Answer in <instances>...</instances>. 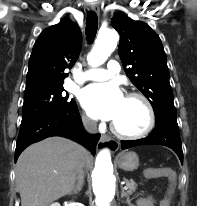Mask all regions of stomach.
Returning a JSON list of instances; mask_svg holds the SVG:
<instances>
[{
	"instance_id": "1",
	"label": "stomach",
	"mask_w": 197,
	"mask_h": 206,
	"mask_svg": "<svg viewBox=\"0 0 197 206\" xmlns=\"http://www.w3.org/2000/svg\"><path fill=\"white\" fill-rule=\"evenodd\" d=\"M116 163L125 171H134L139 166V158L135 152H123L117 156Z\"/></svg>"
}]
</instances>
